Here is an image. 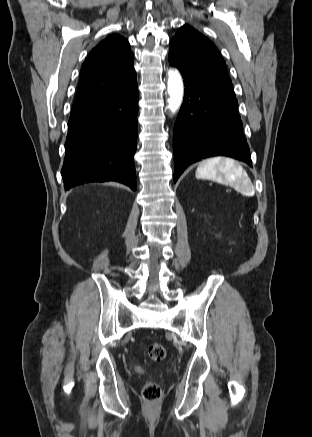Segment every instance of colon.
I'll use <instances>...</instances> for the list:
<instances>
[{
    "mask_svg": "<svg viewBox=\"0 0 312 437\" xmlns=\"http://www.w3.org/2000/svg\"><path fill=\"white\" fill-rule=\"evenodd\" d=\"M148 357L154 362H160L165 358L166 351L164 346L158 342L148 343L146 346ZM143 398L148 402L160 399L161 389L155 382H148L143 388Z\"/></svg>",
    "mask_w": 312,
    "mask_h": 437,
    "instance_id": "obj_1",
    "label": "colon"
}]
</instances>
